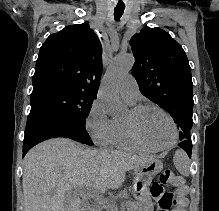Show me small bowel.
Here are the masks:
<instances>
[{
  "mask_svg": "<svg viewBox=\"0 0 219 211\" xmlns=\"http://www.w3.org/2000/svg\"><path fill=\"white\" fill-rule=\"evenodd\" d=\"M153 197L158 204V211H173L172 207V195L162 190H157L153 193ZM181 211H187L185 209Z\"/></svg>",
  "mask_w": 219,
  "mask_h": 211,
  "instance_id": "c3829d8e",
  "label": "small bowel"
}]
</instances>
